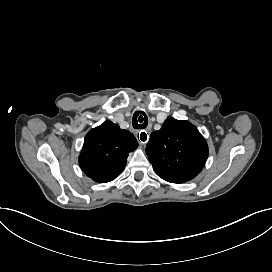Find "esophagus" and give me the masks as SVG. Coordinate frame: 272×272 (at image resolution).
<instances>
[{"label": "esophagus", "instance_id": "obj_1", "mask_svg": "<svg viewBox=\"0 0 272 272\" xmlns=\"http://www.w3.org/2000/svg\"><path fill=\"white\" fill-rule=\"evenodd\" d=\"M138 141L141 144H146L148 141V135L145 132H139L138 133Z\"/></svg>", "mask_w": 272, "mask_h": 272}]
</instances>
